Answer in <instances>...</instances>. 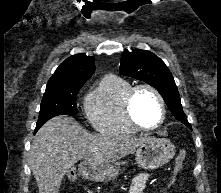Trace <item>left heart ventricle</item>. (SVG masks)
<instances>
[{"label":"left heart ventricle","mask_w":221,"mask_h":193,"mask_svg":"<svg viewBox=\"0 0 221 193\" xmlns=\"http://www.w3.org/2000/svg\"><path fill=\"white\" fill-rule=\"evenodd\" d=\"M133 116L138 123L146 127L158 124L161 118V106L156 96L148 90H140L133 100Z\"/></svg>","instance_id":"1"}]
</instances>
